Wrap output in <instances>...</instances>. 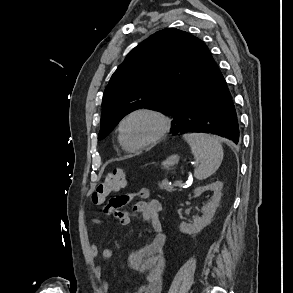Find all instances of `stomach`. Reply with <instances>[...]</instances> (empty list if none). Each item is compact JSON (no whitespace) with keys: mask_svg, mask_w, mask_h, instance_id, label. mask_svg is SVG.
<instances>
[{"mask_svg":"<svg viewBox=\"0 0 293 293\" xmlns=\"http://www.w3.org/2000/svg\"><path fill=\"white\" fill-rule=\"evenodd\" d=\"M179 161V156L178 155H171L164 160L161 165L164 169H169L171 166L177 164Z\"/></svg>","mask_w":293,"mask_h":293,"instance_id":"1","label":"stomach"}]
</instances>
